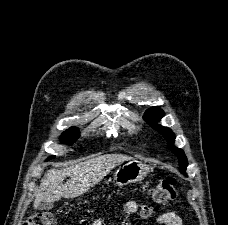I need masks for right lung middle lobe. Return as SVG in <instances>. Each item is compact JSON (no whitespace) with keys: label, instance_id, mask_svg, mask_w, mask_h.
Listing matches in <instances>:
<instances>
[{"label":"right lung middle lobe","instance_id":"right-lung-middle-lobe-1","mask_svg":"<svg viewBox=\"0 0 228 225\" xmlns=\"http://www.w3.org/2000/svg\"><path fill=\"white\" fill-rule=\"evenodd\" d=\"M79 137V131L75 127H71L70 129L66 130L60 138V141L65 144H71L73 143L77 138ZM55 156H51L47 159L50 160L54 158Z\"/></svg>","mask_w":228,"mask_h":225}]
</instances>
